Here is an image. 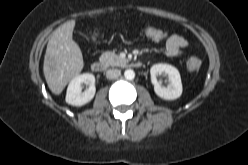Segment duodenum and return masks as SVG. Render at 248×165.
Listing matches in <instances>:
<instances>
[{"instance_id": "duodenum-1", "label": "duodenum", "mask_w": 248, "mask_h": 165, "mask_svg": "<svg viewBox=\"0 0 248 165\" xmlns=\"http://www.w3.org/2000/svg\"><path fill=\"white\" fill-rule=\"evenodd\" d=\"M131 66L135 68H139L141 66V63L137 61L132 62ZM105 68H106V64L102 60H95L91 63V69L93 72L102 73L105 70Z\"/></svg>"}]
</instances>
